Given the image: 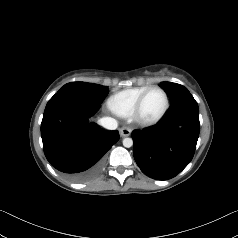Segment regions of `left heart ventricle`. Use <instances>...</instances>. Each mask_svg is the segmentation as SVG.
I'll return each instance as SVG.
<instances>
[{
	"label": "left heart ventricle",
	"instance_id": "obj_1",
	"mask_svg": "<svg viewBox=\"0 0 238 238\" xmlns=\"http://www.w3.org/2000/svg\"><path fill=\"white\" fill-rule=\"evenodd\" d=\"M165 107V96L160 90L151 91L142 106L141 116L144 119H154Z\"/></svg>",
	"mask_w": 238,
	"mask_h": 238
}]
</instances>
